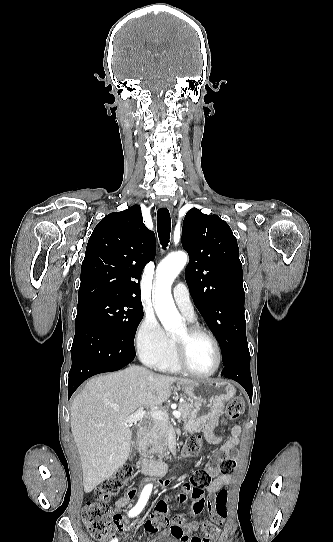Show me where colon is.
<instances>
[{
	"instance_id": "1",
	"label": "colon",
	"mask_w": 333,
	"mask_h": 542,
	"mask_svg": "<svg viewBox=\"0 0 333 542\" xmlns=\"http://www.w3.org/2000/svg\"><path fill=\"white\" fill-rule=\"evenodd\" d=\"M244 407L245 403L242 397L238 396L231 400L226 406L225 424L238 419L243 413ZM201 449V436L195 435L183 443L180 455L185 459L193 458L199 455ZM234 470L235 462L233 459H220L214 464L211 472L204 469L194 471L191 483L187 486L191 491L192 497L199 499L201 504L192 505L189 511L192 516H197V523H203V532L205 537H207L205 540H202L203 542L209 541V538H215L221 530V526L227 517L228 491L225 488L221 489L215 494L213 502H209L206 505L202 490L208 493L211 490L209 484L212 477L230 475ZM132 475V466H121L112 477L103 480L100 489L94 493L92 499L84 503L82 510L84 524L94 539L109 537L115 532V528L111 523H117L118 517L109 511L108 502L112 496L117 495L124 485L131 480ZM154 507L156 510L150 514L145 523L146 531L156 536H162L165 533L167 535L173 534L177 539L181 538L184 532L180 526L185 524V517L181 516L180 512L170 517L168 515L170 507L168 500H156ZM204 507H207L210 513V518L206 521L205 517L202 516L204 514ZM113 508L118 512L122 507L117 503ZM131 541L136 542L137 538L132 537Z\"/></svg>"
}]
</instances>
